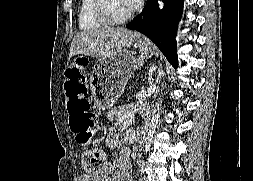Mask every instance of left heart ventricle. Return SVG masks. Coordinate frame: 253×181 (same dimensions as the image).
Wrapping results in <instances>:
<instances>
[{
	"mask_svg": "<svg viewBox=\"0 0 253 181\" xmlns=\"http://www.w3.org/2000/svg\"><path fill=\"white\" fill-rule=\"evenodd\" d=\"M110 9L116 17H121L131 11L126 5L125 0H110Z\"/></svg>",
	"mask_w": 253,
	"mask_h": 181,
	"instance_id": "obj_1",
	"label": "left heart ventricle"
}]
</instances>
